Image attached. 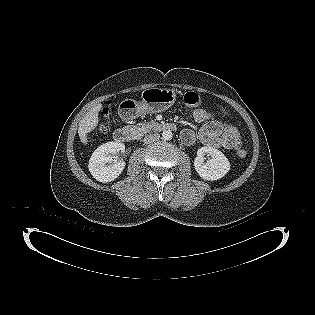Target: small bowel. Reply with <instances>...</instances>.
Masks as SVG:
<instances>
[{"label":"small bowel","mask_w":315,"mask_h":315,"mask_svg":"<svg viewBox=\"0 0 315 315\" xmlns=\"http://www.w3.org/2000/svg\"><path fill=\"white\" fill-rule=\"evenodd\" d=\"M190 117L197 123H202L198 134L192 129L182 132V141L193 145L197 139L206 146L237 150L240 145V134L236 126L227 121V113L218 107L214 112L201 108L194 109Z\"/></svg>","instance_id":"obj_1"}]
</instances>
